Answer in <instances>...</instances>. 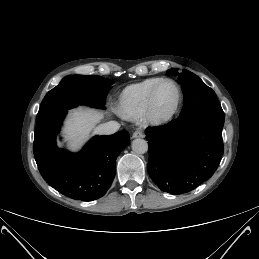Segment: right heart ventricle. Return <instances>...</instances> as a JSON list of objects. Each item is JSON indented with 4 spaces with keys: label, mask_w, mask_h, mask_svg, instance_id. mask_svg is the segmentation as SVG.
Here are the masks:
<instances>
[{
    "label": "right heart ventricle",
    "mask_w": 259,
    "mask_h": 259,
    "mask_svg": "<svg viewBox=\"0 0 259 259\" xmlns=\"http://www.w3.org/2000/svg\"><path fill=\"white\" fill-rule=\"evenodd\" d=\"M162 78L152 77L128 85L119 97V110L129 119H135L144 114L149 94L155 84Z\"/></svg>",
    "instance_id": "obj_1"
}]
</instances>
